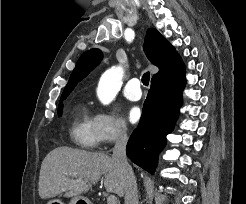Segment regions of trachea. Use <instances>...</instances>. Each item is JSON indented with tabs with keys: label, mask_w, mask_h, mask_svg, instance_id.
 Here are the masks:
<instances>
[{
	"label": "trachea",
	"mask_w": 246,
	"mask_h": 204,
	"mask_svg": "<svg viewBox=\"0 0 246 204\" xmlns=\"http://www.w3.org/2000/svg\"><path fill=\"white\" fill-rule=\"evenodd\" d=\"M149 79H150V74H149V72L144 73L143 76H142V83H143L145 86H148V84H149Z\"/></svg>",
	"instance_id": "1"
}]
</instances>
